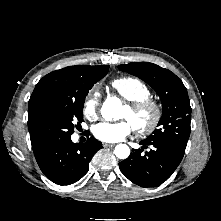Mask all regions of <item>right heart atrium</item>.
I'll return each mask as SVG.
<instances>
[{
	"label": "right heart atrium",
	"instance_id": "d8ad5b80",
	"mask_svg": "<svg viewBox=\"0 0 221 221\" xmlns=\"http://www.w3.org/2000/svg\"><path fill=\"white\" fill-rule=\"evenodd\" d=\"M100 106V92L96 88H92L86 95L83 102V115L93 120L97 117Z\"/></svg>",
	"mask_w": 221,
	"mask_h": 221
}]
</instances>
